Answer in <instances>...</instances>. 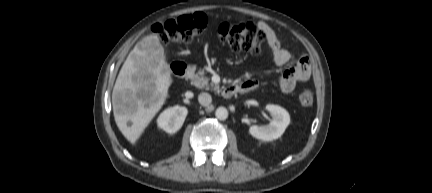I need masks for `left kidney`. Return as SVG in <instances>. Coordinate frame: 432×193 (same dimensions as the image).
Returning <instances> with one entry per match:
<instances>
[{
	"label": "left kidney",
	"mask_w": 432,
	"mask_h": 193,
	"mask_svg": "<svg viewBox=\"0 0 432 193\" xmlns=\"http://www.w3.org/2000/svg\"><path fill=\"white\" fill-rule=\"evenodd\" d=\"M267 111L271 114L272 120L268 125H253L249 128V133L256 139L272 141L281 137L290 123L289 113L278 105H266Z\"/></svg>",
	"instance_id": "1"
}]
</instances>
